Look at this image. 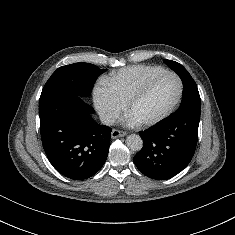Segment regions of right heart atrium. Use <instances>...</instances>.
<instances>
[{
    "mask_svg": "<svg viewBox=\"0 0 235 235\" xmlns=\"http://www.w3.org/2000/svg\"><path fill=\"white\" fill-rule=\"evenodd\" d=\"M93 101L97 112L107 123L115 121L124 108V105L113 95L105 84H98L94 88Z\"/></svg>",
    "mask_w": 235,
    "mask_h": 235,
    "instance_id": "d8ad5b80",
    "label": "right heart atrium"
}]
</instances>
